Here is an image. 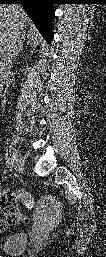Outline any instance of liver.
Wrapping results in <instances>:
<instances>
[{"label": "liver", "mask_w": 106, "mask_h": 257, "mask_svg": "<svg viewBox=\"0 0 106 257\" xmlns=\"http://www.w3.org/2000/svg\"><path fill=\"white\" fill-rule=\"evenodd\" d=\"M29 23V18L19 5H2L0 7V45L5 42L12 28L20 31Z\"/></svg>", "instance_id": "obj_1"}]
</instances>
